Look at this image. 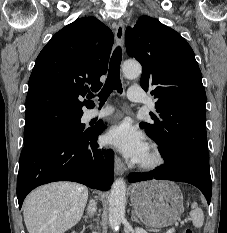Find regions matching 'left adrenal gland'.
Returning <instances> with one entry per match:
<instances>
[{
  "label": "left adrenal gland",
  "instance_id": "obj_1",
  "mask_svg": "<svg viewBox=\"0 0 227 233\" xmlns=\"http://www.w3.org/2000/svg\"><path fill=\"white\" fill-rule=\"evenodd\" d=\"M131 219H132V221L139 223V220L135 217V213L134 212H132Z\"/></svg>",
  "mask_w": 227,
  "mask_h": 233
}]
</instances>
